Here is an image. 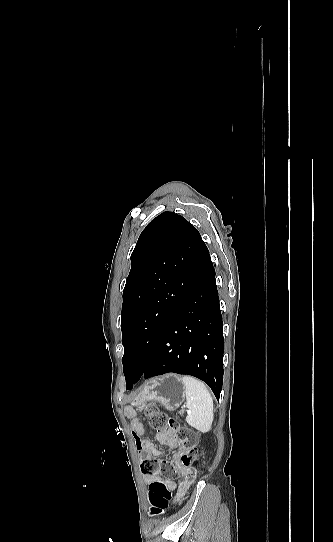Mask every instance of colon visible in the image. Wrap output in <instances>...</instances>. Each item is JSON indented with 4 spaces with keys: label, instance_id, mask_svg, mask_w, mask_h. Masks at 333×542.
I'll list each match as a JSON object with an SVG mask.
<instances>
[{
    "label": "colon",
    "instance_id": "colon-1",
    "mask_svg": "<svg viewBox=\"0 0 333 542\" xmlns=\"http://www.w3.org/2000/svg\"><path fill=\"white\" fill-rule=\"evenodd\" d=\"M144 414L151 429L156 433H163L162 436H164L165 439H172L174 442L181 445L184 451V455L181 458V464L184 467H189L192 464L198 466L201 463L205 452L204 449L199 446V438L194 430L158 410L154 404H147L144 407ZM141 471L146 475L162 473L168 477H172L175 473L169 461L152 457L146 458L141 463ZM192 480L193 477L191 475L188 476L186 481L179 485L177 493H174L173 490L163 482H153L148 491L151 515L164 513L169 506V502L176 495H184L187 492Z\"/></svg>",
    "mask_w": 333,
    "mask_h": 542
}]
</instances>
